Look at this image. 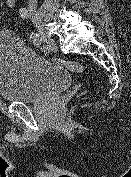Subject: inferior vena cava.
Returning <instances> with one entry per match:
<instances>
[{
    "label": "inferior vena cava",
    "instance_id": "inferior-vena-cava-1",
    "mask_svg": "<svg viewBox=\"0 0 131 177\" xmlns=\"http://www.w3.org/2000/svg\"><path fill=\"white\" fill-rule=\"evenodd\" d=\"M37 0H29V6H36Z\"/></svg>",
    "mask_w": 131,
    "mask_h": 177
}]
</instances>
